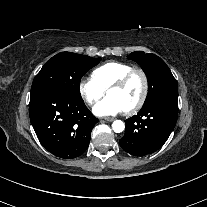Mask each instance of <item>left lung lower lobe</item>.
I'll return each mask as SVG.
<instances>
[{"label":"left lung lower lobe","mask_w":207,"mask_h":207,"mask_svg":"<svg viewBox=\"0 0 207 207\" xmlns=\"http://www.w3.org/2000/svg\"><path fill=\"white\" fill-rule=\"evenodd\" d=\"M178 115V94L159 96L127 119L120 146L134 156L154 153L169 138Z\"/></svg>","instance_id":"0a47b994"}]
</instances>
